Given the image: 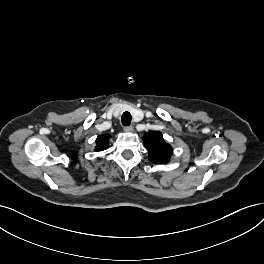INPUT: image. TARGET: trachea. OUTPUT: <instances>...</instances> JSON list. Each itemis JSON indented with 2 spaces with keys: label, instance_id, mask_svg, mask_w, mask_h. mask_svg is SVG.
Listing matches in <instances>:
<instances>
[{
  "label": "trachea",
  "instance_id": "3493384b",
  "mask_svg": "<svg viewBox=\"0 0 264 264\" xmlns=\"http://www.w3.org/2000/svg\"><path fill=\"white\" fill-rule=\"evenodd\" d=\"M131 114L129 112H124L121 117L123 126H129L131 124Z\"/></svg>",
  "mask_w": 264,
  "mask_h": 264
}]
</instances>
